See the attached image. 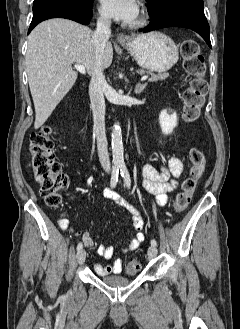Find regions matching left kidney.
Returning <instances> with one entry per match:
<instances>
[{
  "instance_id": "5707ae66",
  "label": "left kidney",
  "mask_w": 240,
  "mask_h": 329,
  "mask_svg": "<svg viewBox=\"0 0 240 329\" xmlns=\"http://www.w3.org/2000/svg\"><path fill=\"white\" fill-rule=\"evenodd\" d=\"M159 123L163 134H171L173 129L177 126L176 113L170 109L161 111L159 115Z\"/></svg>"
}]
</instances>
